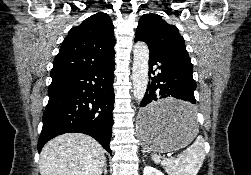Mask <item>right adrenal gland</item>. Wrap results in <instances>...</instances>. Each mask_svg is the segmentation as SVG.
Instances as JSON below:
<instances>
[{
	"mask_svg": "<svg viewBox=\"0 0 251 175\" xmlns=\"http://www.w3.org/2000/svg\"><path fill=\"white\" fill-rule=\"evenodd\" d=\"M102 171H103L104 175H106V173H107V163H105Z\"/></svg>",
	"mask_w": 251,
	"mask_h": 175,
	"instance_id": "right-adrenal-gland-1",
	"label": "right adrenal gland"
}]
</instances>
